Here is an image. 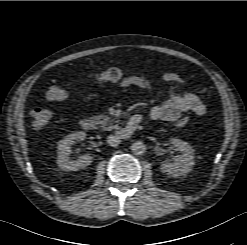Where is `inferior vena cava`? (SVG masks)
Masks as SVG:
<instances>
[{"label":"inferior vena cava","mask_w":247,"mask_h":245,"mask_svg":"<svg viewBox=\"0 0 247 245\" xmlns=\"http://www.w3.org/2000/svg\"><path fill=\"white\" fill-rule=\"evenodd\" d=\"M107 142L110 146L116 147L120 144V138L116 135H109L107 137Z\"/></svg>","instance_id":"inferior-vena-cava-1"}]
</instances>
